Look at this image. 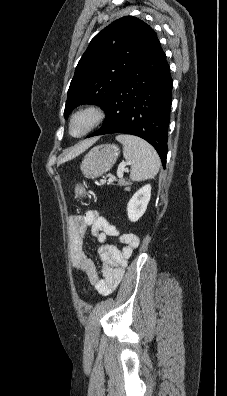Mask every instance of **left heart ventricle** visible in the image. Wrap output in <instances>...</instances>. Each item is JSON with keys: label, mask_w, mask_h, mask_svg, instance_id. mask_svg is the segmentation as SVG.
<instances>
[{"label": "left heart ventricle", "mask_w": 227, "mask_h": 396, "mask_svg": "<svg viewBox=\"0 0 227 396\" xmlns=\"http://www.w3.org/2000/svg\"><path fill=\"white\" fill-rule=\"evenodd\" d=\"M86 123H87V121H86V119H84V118H79V119H77V120L74 122V124H73V128H72L73 133H74V134H79V133H81V132L84 130V128H85V126H86Z\"/></svg>", "instance_id": "b2bd125f"}]
</instances>
